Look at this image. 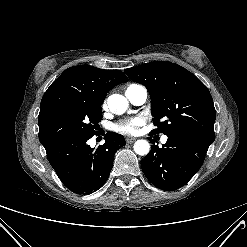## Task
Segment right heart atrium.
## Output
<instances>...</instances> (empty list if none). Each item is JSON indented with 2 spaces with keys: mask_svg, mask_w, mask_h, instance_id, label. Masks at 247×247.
<instances>
[{
  "mask_svg": "<svg viewBox=\"0 0 247 247\" xmlns=\"http://www.w3.org/2000/svg\"><path fill=\"white\" fill-rule=\"evenodd\" d=\"M105 105H106V102L103 103V107H105Z\"/></svg>",
  "mask_w": 247,
  "mask_h": 247,
  "instance_id": "obj_1",
  "label": "right heart atrium"
}]
</instances>
